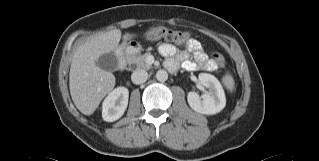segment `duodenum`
<instances>
[{
    "label": "duodenum",
    "mask_w": 319,
    "mask_h": 161,
    "mask_svg": "<svg viewBox=\"0 0 319 161\" xmlns=\"http://www.w3.org/2000/svg\"><path fill=\"white\" fill-rule=\"evenodd\" d=\"M132 47L133 44L129 43L126 46L119 48L116 52V60L121 70H124L128 63L129 52L132 49Z\"/></svg>",
    "instance_id": "obj_1"
}]
</instances>
